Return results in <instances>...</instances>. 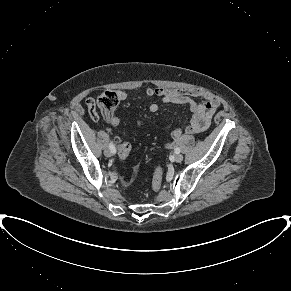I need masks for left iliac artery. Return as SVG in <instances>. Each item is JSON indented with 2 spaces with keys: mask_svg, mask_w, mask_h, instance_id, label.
Listing matches in <instances>:
<instances>
[{
  "mask_svg": "<svg viewBox=\"0 0 291 291\" xmlns=\"http://www.w3.org/2000/svg\"><path fill=\"white\" fill-rule=\"evenodd\" d=\"M175 153H180V148H175Z\"/></svg>",
  "mask_w": 291,
  "mask_h": 291,
  "instance_id": "left-iliac-artery-1",
  "label": "left iliac artery"
}]
</instances>
